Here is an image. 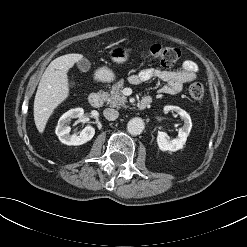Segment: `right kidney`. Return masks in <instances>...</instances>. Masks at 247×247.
Returning <instances> with one entry per match:
<instances>
[{
  "instance_id": "right-kidney-1",
  "label": "right kidney",
  "mask_w": 247,
  "mask_h": 247,
  "mask_svg": "<svg viewBox=\"0 0 247 247\" xmlns=\"http://www.w3.org/2000/svg\"><path fill=\"white\" fill-rule=\"evenodd\" d=\"M83 114L84 110L82 108H75L67 111L60 117L55 133L62 143L76 146L82 145L93 138L95 129L90 125L86 126L79 135L70 134L71 128L67 125V123L73 118H82Z\"/></svg>"
}]
</instances>
